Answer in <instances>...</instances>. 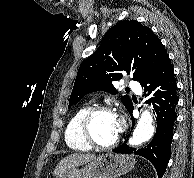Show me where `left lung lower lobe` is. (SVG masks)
Wrapping results in <instances>:
<instances>
[{
  "label": "left lung lower lobe",
  "mask_w": 194,
  "mask_h": 178,
  "mask_svg": "<svg viewBox=\"0 0 194 178\" xmlns=\"http://www.w3.org/2000/svg\"><path fill=\"white\" fill-rule=\"evenodd\" d=\"M140 84L144 87V96L150 97L147 102L152 103L154 108L157 120L156 134L151 143L145 148L136 150L129 148L124 142L115 148L113 152L121 154L134 153L145 157L154 165L158 178H161L171 156L173 124L176 120L175 108L178 102L174 69L169 56L156 71L140 82ZM128 112L132 116L133 104L128 109ZM134 122L132 118V128L134 127Z\"/></svg>",
  "instance_id": "obj_1"
}]
</instances>
